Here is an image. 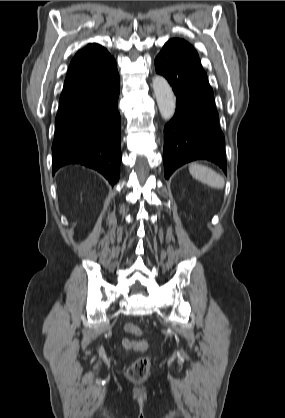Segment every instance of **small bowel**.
<instances>
[{
    "mask_svg": "<svg viewBox=\"0 0 285 418\" xmlns=\"http://www.w3.org/2000/svg\"><path fill=\"white\" fill-rule=\"evenodd\" d=\"M144 341H132L128 339H124L122 341L123 347L127 350H134V351H142L145 348L143 347Z\"/></svg>",
    "mask_w": 285,
    "mask_h": 418,
    "instance_id": "c3829d8e",
    "label": "small bowel"
}]
</instances>
